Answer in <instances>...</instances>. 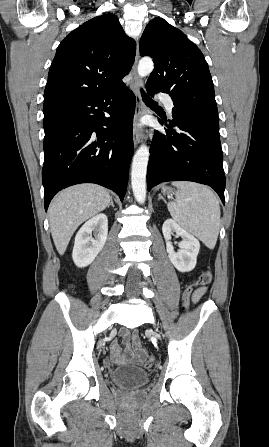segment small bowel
<instances>
[{
    "instance_id": "obj_1",
    "label": "small bowel",
    "mask_w": 269,
    "mask_h": 447,
    "mask_svg": "<svg viewBox=\"0 0 269 447\" xmlns=\"http://www.w3.org/2000/svg\"><path fill=\"white\" fill-rule=\"evenodd\" d=\"M206 290V287L197 288L192 295V302L197 304L206 293ZM119 336L124 344V352H122L118 344L111 346L110 358L114 364H123L125 362L140 364L141 357H150L147 349L142 345L137 332L130 334L128 329H122L119 332ZM130 338L132 344H130Z\"/></svg>"
}]
</instances>
